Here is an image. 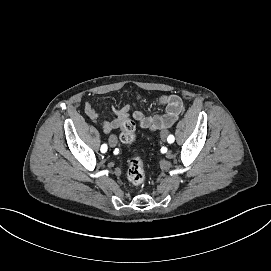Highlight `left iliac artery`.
<instances>
[{"instance_id": "obj_1", "label": "left iliac artery", "mask_w": 271, "mask_h": 271, "mask_svg": "<svg viewBox=\"0 0 271 271\" xmlns=\"http://www.w3.org/2000/svg\"><path fill=\"white\" fill-rule=\"evenodd\" d=\"M167 140H168L169 143H173L175 138H174L173 135H169Z\"/></svg>"}]
</instances>
